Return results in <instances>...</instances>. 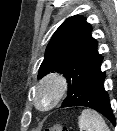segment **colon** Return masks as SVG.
<instances>
[{"label":"colon","instance_id":"1","mask_svg":"<svg viewBox=\"0 0 117 131\" xmlns=\"http://www.w3.org/2000/svg\"><path fill=\"white\" fill-rule=\"evenodd\" d=\"M44 131H69L68 127L63 125H53L49 128H46Z\"/></svg>","mask_w":117,"mask_h":131}]
</instances>
